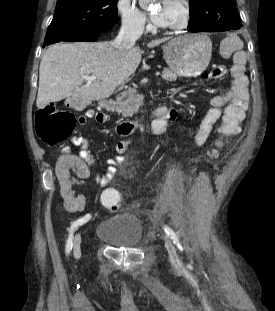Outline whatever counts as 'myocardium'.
Returning a JSON list of instances; mask_svg holds the SVG:
<instances>
[{
  "label": "myocardium",
  "mask_w": 275,
  "mask_h": 311,
  "mask_svg": "<svg viewBox=\"0 0 275 311\" xmlns=\"http://www.w3.org/2000/svg\"><path fill=\"white\" fill-rule=\"evenodd\" d=\"M174 2H176L181 9V19L178 23L169 26H163V28L169 31H180L189 25L191 19V7L188 0H174Z\"/></svg>",
  "instance_id": "obj_1"
}]
</instances>
